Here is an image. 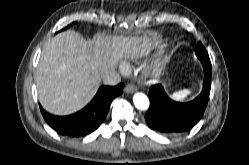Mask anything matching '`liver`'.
<instances>
[{"instance_id":"obj_1","label":"liver","mask_w":249,"mask_h":165,"mask_svg":"<svg viewBox=\"0 0 249 165\" xmlns=\"http://www.w3.org/2000/svg\"><path fill=\"white\" fill-rule=\"evenodd\" d=\"M142 38L97 34L87 42L75 31L53 37L43 48L36 71L39 101L55 115L72 114L95 95L103 73L135 51ZM149 45L143 38L142 47Z\"/></svg>"}]
</instances>
